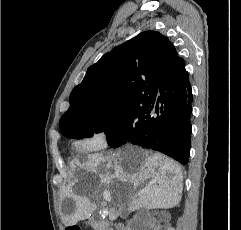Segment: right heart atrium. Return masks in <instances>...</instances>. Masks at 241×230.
I'll return each instance as SVG.
<instances>
[{
  "label": "right heart atrium",
  "mask_w": 241,
  "mask_h": 230,
  "mask_svg": "<svg viewBox=\"0 0 241 230\" xmlns=\"http://www.w3.org/2000/svg\"><path fill=\"white\" fill-rule=\"evenodd\" d=\"M80 145L87 151H99L108 147L109 135L106 130H97L84 138Z\"/></svg>",
  "instance_id": "1"
}]
</instances>
